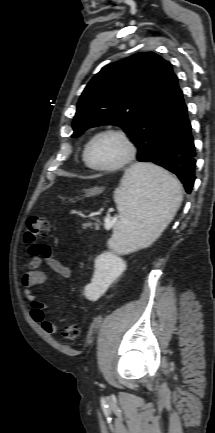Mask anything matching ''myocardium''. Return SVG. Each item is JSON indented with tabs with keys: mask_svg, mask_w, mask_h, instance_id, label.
<instances>
[{
	"mask_svg": "<svg viewBox=\"0 0 215 433\" xmlns=\"http://www.w3.org/2000/svg\"><path fill=\"white\" fill-rule=\"evenodd\" d=\"M104 135H115L119 137L123 141L126 149L125 156L123 157V159L111 166H97L94 165L89 159L90 147L99 137ZM135 155H136L135 143L133 142V140L131 139V137L128 135L127 132L119 128H107L97 132L90 138V140L87 142L84 148L83 159L85 164L93 170L101 171V172H116L128 166L135 158Z\"/></svg>",
	"mask_w": 215,
	"mask_h": 433,
	"instance_id": "f54148a6",
	"label": "myocardium"
}]
</instances>
